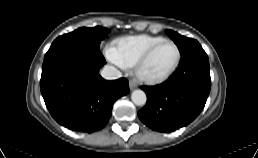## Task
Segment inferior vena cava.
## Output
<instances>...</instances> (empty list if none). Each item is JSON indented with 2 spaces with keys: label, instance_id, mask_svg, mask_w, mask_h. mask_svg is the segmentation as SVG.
Returning a JSON list of instances; mask_svg holds the SVG:
<instances>
[{
  "label": "inferior vena cava",
  "instance_id": "1",
  "mask_svg": "<svg viewBox=\"0 0 258 158\" xmlns=\"http://www.w3.org/2000/svg\"><path fill=\"white\" fill-rule=\"evenodd\" d=\"M101 76L106 80H115L119 79L122 76V74L115 67L111 65H106L101 71Z\"/></svg>",
  "mask_w": 258,
  "mask_h": 158
}]
</instances>
